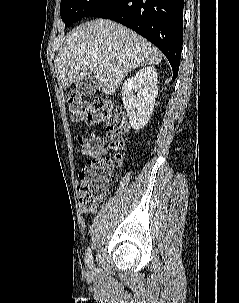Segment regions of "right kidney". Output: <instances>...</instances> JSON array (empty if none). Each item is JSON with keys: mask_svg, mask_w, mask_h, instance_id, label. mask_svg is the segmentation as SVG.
<instances>
[{"mask_svg": "<svg viewBox=\"0 0 239 303\" xmlns=\"http://www.w3.org/2000/svg\"><path fill=\"white\" fill-rule=\"evenodd\" d=\"M157 77L154 67H145L122 85V101L134 130L142 129L149 121L158 94Z\"/></svg>", "mask_w": 239, "mask_h": 303, "instance_id": "1", "label": "right kidney"}]
</instances>
